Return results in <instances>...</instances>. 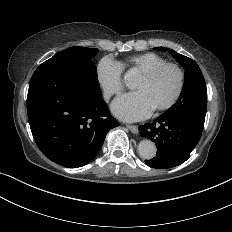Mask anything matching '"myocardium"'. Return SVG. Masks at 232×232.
I'll use <instances>...</instances> for the list:
<instances>
[{
	"label": "myocardium",
	"mask_w": 232,
	"mask_h": 232,
	"mask_svg": "<svg viewBox=\"0 0 232 232\" xmlns=\"http://www.w3.org/2000/svg\"><path fill=\"white\" fill-rule=\"evenodd\" d=\"M168 67H173L178 72V74H179V86H178L175 94L173 95L172 99L167 104H165L164 106H162L159 109L155 110L157 114H162V113L170 110L177 103L179 98L181 97V94H182V92L184 90V86H185V73H184V70L177 63L165 62V63H162V64H159V65L155 66L154 68H152L148 72L141 75V78L143 80L151 81L162 70H164L165 68H168Z\"/></svg>",
	"instance_id": "obj_1"
}]
</instances>
